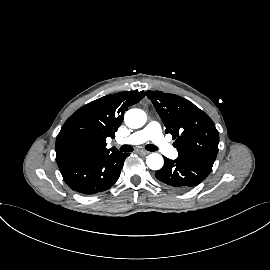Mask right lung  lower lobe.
Instances as JSON below:
<instances>
[{"label":"right lung lower lobe","instance_id":"obj_1","mask_svg":"<svg viewBox=\"0 0 270 270\" xmlns=\"http://www.w3.org/2000/svg\"><path fill=\"white\" fill-rule=\"evenodd\" d=\"M128 155L129 153L115 150L93 154L58 166L64 181L72 190L82 194H95L109 189L116 183Z\"/></svg>","mask_w":270,"mask_h":270}]
</instances>
